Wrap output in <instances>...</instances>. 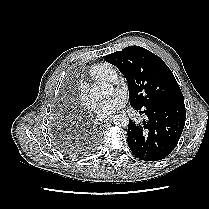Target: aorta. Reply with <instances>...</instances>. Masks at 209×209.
<instances>
[{
    "label": "aorta",
    "mask_w": 209,
    "mask_h": 209,
    "mask_svg": "<svg viewBox=\"0 0 209 209\" xmlns=\"http://www.w3.org/2000/svg\"><path fill=\"white\" fill-rule=\"evenodd\" d=\"M111 87L106 83L94 85L89 91V97L92 100H104L111 94ZM113 123L117 127H126L129 123V118L126 114H118L113 117Z\"/></svg>",
    "instance_id": "aorta-1"
}]
</instances>
